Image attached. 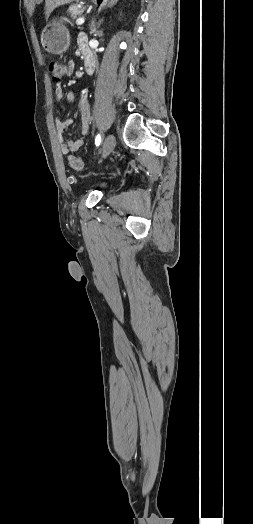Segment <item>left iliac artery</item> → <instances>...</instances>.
<instances>
[{"label":"left iliac artery","instance_id":"left-iliac-artery-1","mask_svg":"<svg viewBox=\"0 0 253 524\" xmlns=\"http://www.w3.org/2000/svg\"><path fill=\"white\" fill-rule=\"evenodd\" d=\"M100 143H101V136L98 134V135L96 136V139H95V145H96V146H99Z\"/></svg>","mask_w":253,"mask_h":524}]
</instances>
